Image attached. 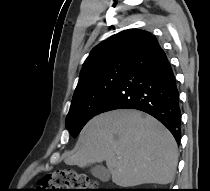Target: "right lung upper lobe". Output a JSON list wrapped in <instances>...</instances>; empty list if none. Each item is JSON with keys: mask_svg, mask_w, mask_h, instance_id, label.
<instances>
[{"mask_svg": "<svg viewBox=\"0 0 210 191\" xmlns=\"http://www.w3.org/2000/svg\"><path fill=\"white\" fill-rule=\"evenodd\" d=\"M151 36V33L143 30L128 29L101 42L84 62L76 90L97 69L116 60H131Z\"/></svg>", "mask_w": 210, "mask_h": 191, "instance_id": "1", "label": "right lung upper lobe"}]
</instances>
